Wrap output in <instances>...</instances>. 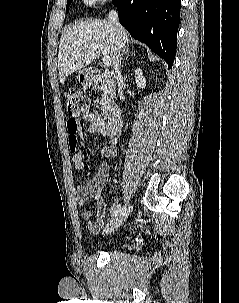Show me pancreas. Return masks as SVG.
<instances>
[{
	"instance_id": "obj_1",
	"label": "pancreas",
	"mask_w": 239,
	"mask_h": 303,
	"mask_svg": "<svg viewBox=\"0 0 239 303\" xmlns=\"http://www.w3.org/2000/svg\"><path fill=\"white\" fill-rule=\"evenodd\" d=\"M108 96L109 94L107 88L103 89L100 105H101V110L104 114H107L109 110Z\"/></svg>"
}]
</instances>
